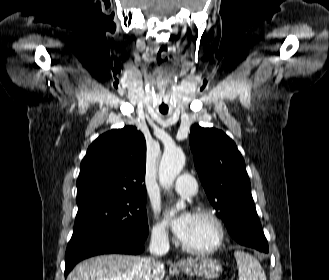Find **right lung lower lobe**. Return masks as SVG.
<instances>
[{"label":"right lung lower lobe","instance_id":"right-lung-lower-lobe-1","mask_svg":"<svg viewBox=\"0 0 329 280\" xmlns=\"http://www.w3.org/2000/svg\"><path fill=\"white\" fill-rule=\"evenodd\" d=\"M147 234L139 238H126L110 232H93L68 244L65 254V277L81 260L108 253L139 254Z\"/></svg>","mask_w":329,"mask_h":280}]
</instances>
